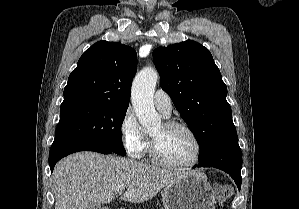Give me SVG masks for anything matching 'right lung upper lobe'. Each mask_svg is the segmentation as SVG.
I'll return each instance as SVG.
<instances>
[{
    "mask_svg": "<svg viewBox=\"0 0 299 209\" xmlns=\"http://www.w3.org/2000/svg\"><path fill=\"white\" fill-rule=\"evenodd\" d=\"M136 71L134 49L117 42H97L82 54L70 74L61 105L128 106Z\"/></svg>",
    "mask_w": 299,
    "mask_h": 209,
    "instance_id": "cb5924a9",
    "label": "right lung upper lobe"
}]
</instances>
